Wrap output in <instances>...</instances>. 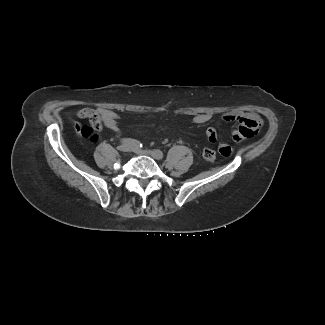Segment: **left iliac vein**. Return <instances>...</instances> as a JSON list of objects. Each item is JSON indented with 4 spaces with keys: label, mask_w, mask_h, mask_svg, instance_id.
<instances>
[{
    "label": "left iliac vein",
    "mask_w": 325,
    "mask_h": 325,
    "mask_svg": "<svg viewBox=\"0 0 325 325\" xmlns=\"http://www.w3.org/2000/svg\"><path fill=\"white\" fill-rule=\"evenodd\" d=\"M131 150L139 155H146L152 157L155 160H160L158 154L155 151L141 150L138 148H131Z\"/></svg>",
    "instance_id": "obj_1"
}]
</instances>
